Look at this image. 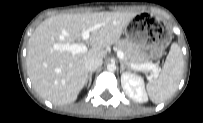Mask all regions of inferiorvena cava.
Masks as SVG:
<instances>
[{
	"label": "inferior vena cava",
	"instance_id": "obj_1",
	"mask_svg": "<svg viewBox=\"0 0 203 123\" xmlns=\"http://www.w3.org/2000/svg\"><path fill=\"white\" fill-rule=\"evenodd\" d=\"M103 61L101 58H90L85 61L84 65L88 72H93L97 68H99L102 65Z\"/></svg>",
	"mask_w": 203,
	"mask_h": 123
}]
</instances>
